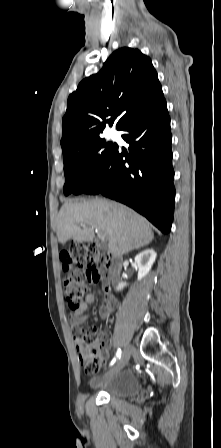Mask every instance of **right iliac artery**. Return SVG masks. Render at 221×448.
Wrapping results in <instances>:
<instances>
[{
    "label": "right iliac artery",
    "instance_id": "1",
    "mask_svg": "<svg viewBox=\"0 0 221 448\" xmlns=\"http://www.w3.org/2000/svg\"><path fill=\"white\" fill-rule=\"evenodd\" d=\"M120 357H121V349H118L117 352H116V356H115V358L113 359V361H112L111 364H113V363L116 362L118 359H120Z\"/></svg>",
    "mask_w": 221,
    "mask_h": 448
}]
</instances>
